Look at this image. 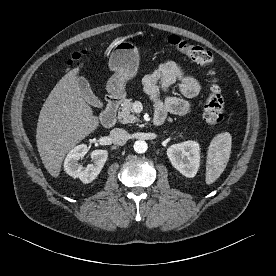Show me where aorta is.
I'll list each match as a JSON object with an SVG mask.
<instances>
[{"label":"aorta","instance_id":"1","mask_svg":"<svg viewBox=\"0 0 276 276\" xmlns=\"http://www.w3.org/2000/svg\"><path fill=\"white\" fill-rule=\"evenodd\" d=\"M133 147H134L135 152L140 153V154L145 153L148 149L147 143L143 140L136 141L134 143Z\"/></svg>","mask_w":276,"mask_h":276}]
</instances>
